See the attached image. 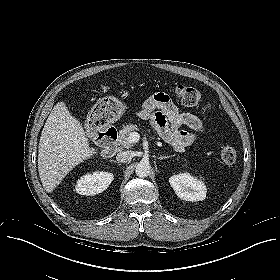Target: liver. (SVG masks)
<instances>
[{
  "mask_svg": "<svg viewBox=\"0 0 280 280\" xmlns=\"http://www.w3.org/2000/svg\"><path fill=\"white\" fill-rule=\"evenodd\" d=\"M88 133L73 117L65 102H58L43 127L38 149V171L44 189L52 192L83 160L96 154Z\"/></svg>",
  "mask_w": 280,
  "mask_h": 280,
  "instance_id": "liver-1",
  "label": "liver"
}]
</instances>
